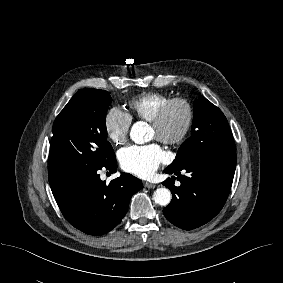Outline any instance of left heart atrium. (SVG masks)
<instances>
[{
	"label": "left heart atrium",
	"mask_w": 283,
	"mask_h": 283,
	"mask_svg": "<svg viewBox=\"0 0 283 283\" xmlns=\"http://www.w3.org/2000/svg\"><path fill=\"white\" fill-rule=\"evenodd\" d=\"M166 158L165 152L156 144L133 145L120 151L121 167L129 173L146 178L158 169Z\"/></svg>",
	"instance_id": "1"
}]
</instances>
